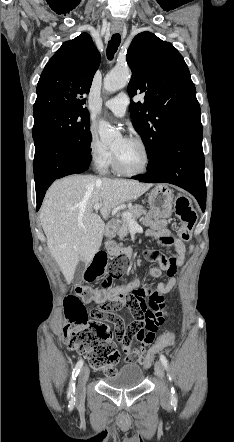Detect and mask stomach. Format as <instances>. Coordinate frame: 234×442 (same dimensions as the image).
I'll use <instances>...</instances> for the list:
<instances>
[{"label": "stomach", "mask_w": 234, "mask_h": 442, "mask_svg": "<svg viewBox=\"0 0 234 442\" xmlns=\"http://www.w3.org/2000/svg\"><path fill=\"white\" fill-rule=\"evenodd\" d=\"M174 194L164 184L156 185L148 195L151 210L160 218H169L172 214Z\"/></svg>", "instance_id": "stomach-1"}]
</instances>
